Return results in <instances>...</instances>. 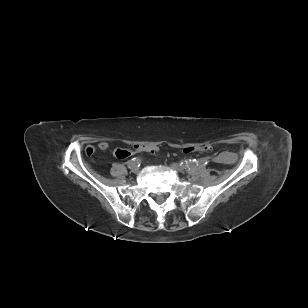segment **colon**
<instances>
[{
	"label": "colon",
	"mask_w": 308,
	"mask_h": 308,
	"mask_svg": "<svg viewBox=\"0 0 308 308\" xmlns=\"http://www.w3.org/2000/svg\"><path fill=\"white\" fill-rule=\"evenodd\" d=\"M158 151V148L154 144H145V143H137L131 147H118L115 149L114 154L118 157L119 160L124 161L127 158L138 156L140 154L145 155H154ZM211 151L210 145L204 146H191L184 148L183 152L185 154H192V153H203ZM94 152L93 148H87L86 153L88 155H92Z\"/></svg>",
	"instance_id": "colon-1"
}]
</instances>
